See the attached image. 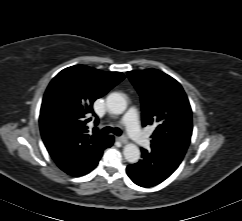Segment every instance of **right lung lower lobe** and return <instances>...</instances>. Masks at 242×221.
<instances>
[{"mask_svg": "<svg viewBox=\"0 0 242 221\" xmlns=\"http://www.w3.org/2000/svg\"><path fill=\"white\" fill-rule=\"evenodd\" d=\"M113 141H114L113 136L107 135L99 146L95 147L94 149H89L86 153L87 161L81 168L79 169H73L70 167H60V168L64 172L72 176H81L89 173L92 169H94L97 166L103 154V150L111 147L113 144Z\"/></svg>", "mask_w": 242, "mask_h": 221, "instance_id": "obj_1", "label": "right lung lower lobe"}]
</instances>
